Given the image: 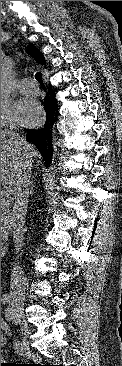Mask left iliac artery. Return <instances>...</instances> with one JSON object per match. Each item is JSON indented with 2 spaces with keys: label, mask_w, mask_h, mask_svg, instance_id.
<instances>
[{
  "label": "left iliac artery",
  "mask_w": 122,
  "mask_h": 366,
  "mask_svg": "<svg viewBox=\"0 0 122 366\" xmlns=\"http://www.w3.org/2000/svg\"><path fill=\"white\" fill-rule=\"evenodd\" d=\"M11 314H12V311L8 309V311L6 312V315H7L8 319H10V317H9V316H10Z\"/></svg>",
  "instance_id": "1"
}]
</instances>
